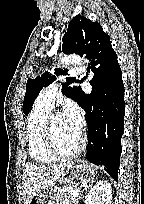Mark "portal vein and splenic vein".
I'll use <instances>...</instances> for the list:
<instances>
[{
  "instance_id": "18ae733b",
  "label": "portal vein and splenic vein",
  "mask_w": 144,
  "mask_h": 204,
  "mask_svg": "<svg viewBox=\"0 0 144 204\" xmlns=\"http://www.w3.org/2000/svg\"><path fill=\"white\" fill-rule=\"evenodd\" d=\"M71 194H72L73 196H78V195H79V191H78V190H72V191H71Z\"/></svg>"
}]
</instances>
